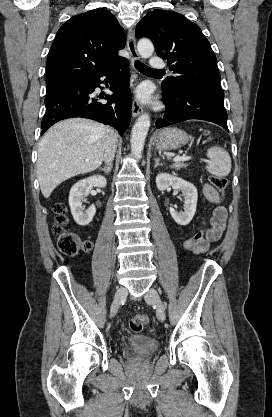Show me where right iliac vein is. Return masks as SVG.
<instances>
[{
	"mask_svg": "<svg viewBox=\"0 0 272 417\" xmlns=\"http://www.w3.org/2000/svg\"><path fill=\"white\" fill-rule=\"evenodd\" d=\"M127 294L128 292L126 288L120 287L117 289L114 300L111 304V309H110V313L112 317L117 314L119 306L121 302L126 298Z\"/></svg>",
	"mask_w": 272,
	"mask_h": 417,
	"instance_id": "1",
	"label": "right iliac vein"
}]
</instances>
